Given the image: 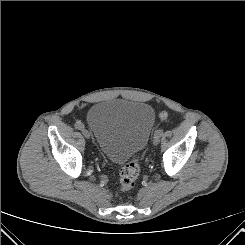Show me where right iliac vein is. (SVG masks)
I'll list each match as a JSON object with an SVG mask.
<instances>
[{"instance_id":"right-iliac-vein-1","label":"right iliac vein","mask_w":245,"mask_h":245,"mask_svg":"<svg viewBox=\"0 0 245 245\" xmlns=\"http://www.w3.org/2000/svg\"><path fill=\"white\" fill-rule=\"evenodd\" d=\"M82 134L85 136V138H87V139H89L90 138V132L87 130V129H85V128H83L82 129Z\"/></svg>"}]
</instances>
